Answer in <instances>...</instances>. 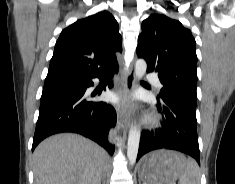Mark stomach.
<instances>
[{"label":"stomach","instance_id":"stomach-1","mask_svg":"<svg viewBox=\"0 0 235 184\" xmlns=\"http://www.w3.org/2000/svg\"><path fill=\"white\" fill-rule=\"evenodd\" d=\"M187 166L184 154L174 150H156L145 156L139 176L146 184H174Z\"/></svg>","mask_w":235,"mask_h":184}]
</instances>
